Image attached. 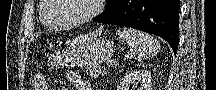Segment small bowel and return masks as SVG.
<instances>
[{"instance_id":"small-bowel-1","label":"small bowel","mask_w":216,"mask_h":90,"mask_svg":"<svg viewBox=\"0 0 216 90\" xmlns=\"http://www.w3.org/2000/svg\"><path fill=\"white\" fill-rule=\"evenodd\" d=\"M67 81L75 87V90H91V85L86 81L81 73L76 70H71L67 73ZM66 90V89H64Z\"/></svg>"}]
</instances>
